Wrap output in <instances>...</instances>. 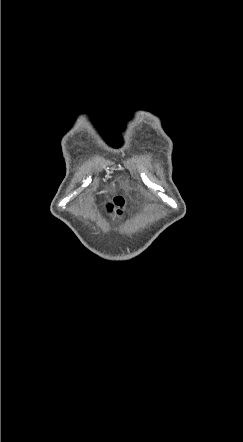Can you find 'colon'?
Segmentation results:
<instances>
[{"label": "colon", "mask_w": 243, "mask_h": 442, "mask_svg": "<svg viewBox=\"0 0 243 442\" xmlns=\"http://www.w3.org/2000/svg\"><path fill=\"white\" fill-rule=\"evenodd\" d=\"M125 199L122 196H116L112 202L107 203L104 207L107 210H112L114 207L118 208V212L121 213V210L124 208Z\"/></svg>", "instance_id": "1"}]
</instances>
